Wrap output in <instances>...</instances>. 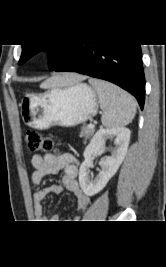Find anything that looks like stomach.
<instances>
[{
  "instance_id": "obj_1",
  "label": "stomach",
  "mask_w": 166,
  "mask_h": 267,
  "mask_svg": "<svg viewBox=\"0 0 166 267\" xmlns=\"http://www.w3.org/2000/svg\"><path fill=\"white\" fill-rule=\"evenodd\" d=\"M23 121L44 130L58 125L73 127L93 118L98 111L95 91L85 83L51 87L41 94H29L21 103Z\"/></svg>"
}]
</instances>
